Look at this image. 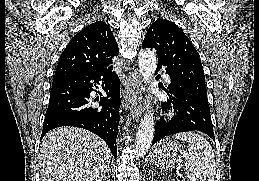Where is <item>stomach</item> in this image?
Instances as JSON below:
<instances>
[{
	"label": "stomach",
	"mask_w": 259,
	"mask_h": 181,
	"mask_svg": "<svg viewBox=\"0 0 259 181\" xmlns=\"http://www.w3.org/2000/svg\"><path fill=\"white\" fill-rule=\"evenodd\" d=\"M183 154L181 144L170 139H163L153 148L151 161L161 168H169L180 162Z\"/></svg>",
	"instance_id": "obj_1"
}]
</instances>
